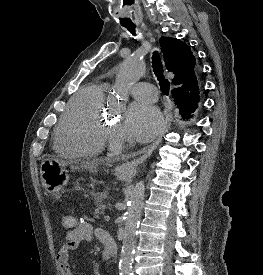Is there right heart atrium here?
I'll return each mask as SVG.
<instances>
[{"label": "right heart atrium", "mask_w": 263, "mask_h": 275, "mask_svg": "<svg viewBox=\"0 0 263 275\" xmlns=\"http://www.w3.org/2000/svg\"><path fill=\"white\" fill-rule=\"evenodd\" d=\"M112 139H113V143L115 145H119L122 142V138L120 137V135L117 132L113 133Z\"/></svg>", "instance_id": "right-heart-atrium-1"}]
</instances>
